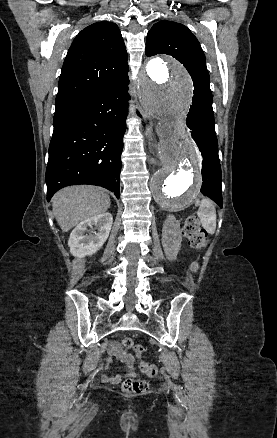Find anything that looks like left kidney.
Segmentation results:
<instances>
[{
  "mask_svg": "<svg viewBox=\"0 0 277 438\" xmlns=\"http://www.w3.org/2000/svg\"><path fill=\"white\" fill-rule=\"evenodd\" d=\"M181 242L180 222L176 220L175 216L169 214L162 230V246L167 260H175L181 248Z\"/></svg>",
  "mask_w": 277,
  "mask_h": 438,
  "instance_id": "5707ae66",
  "label": "left kidney"
}]
</instances>
